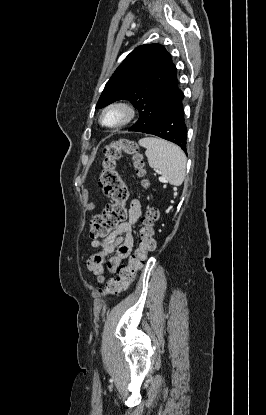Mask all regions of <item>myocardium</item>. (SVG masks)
Listing matches in <instances>:
<instances>
[{
    "mask_svg": "<svg viewBox=\"0 0 266 415\" xmlns=\"http://www.w3.org/2000/svg\"><path fill=\"white\" fill-rule=\"evenodd\" d=\"M109 112L120 113L119 121L114 124L106 123L105 116ZM134 116H135V111L129 104L122 102V101H116V102L108 104L106 107L103 108L101 115H100V123L107 128L118 129L130 123L132 119L134 118Z\"/></svg>",
    "mask_w": 266,
    "mask_h": 415,
    "instance_id": "f54148a6",
    "label": "myocardium"
}]
</instances>
